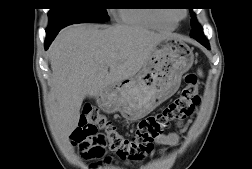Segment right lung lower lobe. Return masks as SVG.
<instances>
[{
	"mask_svg": "<svg viewBox=\"0 0 252 169\" xmlns=\"http://www.w3.org/2000/svg\"><path fill=\"white\" fill-rule=\"evenodd\" d=\"M59 31L60 29L46 32L45 49L49 47L50 43L54 40Z\"/></svg>",
	"mask_w": 252,
	"mask_h": 169,
	"instance_id": "obj_1",
	"label": "right lung lower lobe"
}]
</instances>
